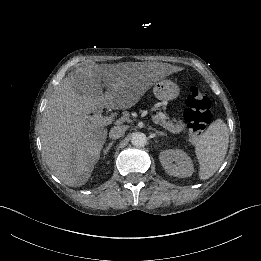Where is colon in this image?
Wrapping results in <instances>:
<instances>
[{
    "mask_svg": "<svg viewBox=\"0 0 261 261\" xmlns=\"http://www.w3.org/2000/svg\"><path fill=\"white\" fill-rule=\"evenodd\" d=\"M212 101L207 93L192 87L186 100L184 119L190 137H198L211 121Z\"/></svg>",
    "mask_w": 261,
    "mask_h": 261,
    "instance_id": "1",
    "label": "colon"
}]
</instances>
